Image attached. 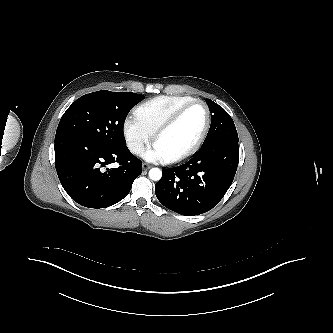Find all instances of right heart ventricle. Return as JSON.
I'll list each match as a JSON object with an SVG mask.
<instances>
[{"mask_svg":"<svg viewBox=\"0 0 333 333\" xmlns=\"http://www.w3.org/2000/svg\"><path fill=\"white\" fill-rule=\"evenodd\" d=\"M192 100L189 96H157L140 104L135 109V117L153 134L173 112Z\"/></svg>","mask_w":333,"mask_h":333,"instance_id":"1","label":"right heart ventricle"}]
</instances>
